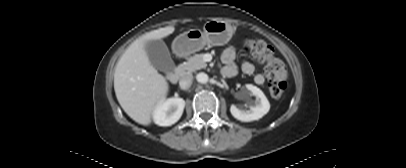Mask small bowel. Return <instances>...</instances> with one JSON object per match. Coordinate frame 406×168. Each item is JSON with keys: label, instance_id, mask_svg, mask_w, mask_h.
<instances>
[{"label": "small bowel", "instance_id": "c3829d8e", "mask_svg": "<svg viewBox=\"0 0 406 168\" xmlns=\"http://www.w3.org/2000/svg\"><path fill=\"white\" fill-rule=\"evenodd\" d=\"M235 56L236 52L233 47L226 48L221 54V59L226 64L223 69V73L228 77H232L237 74V67L234 64ZM241 69L247 75H253L255 71L254 65L247 60L242 61ZM253 80L257 85H262L264 83V76L261 73H256L253 76Z\"/></svg>", "mask_w": 406, "mask_h": 168}]
</instances>
